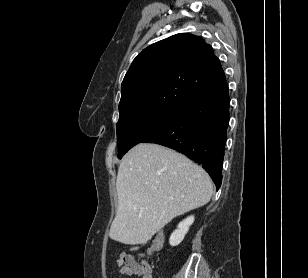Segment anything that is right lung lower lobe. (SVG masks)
Instances as JSON below:
<instances>
[{"label":"right lung lower lobe","instance_id":"1","mask_svg":"<svg viewBox=\"0 0 308 278\" xmlns=\"http://www.w3.org/2000/svg\"><path fill=\"white\" fill-rule=\"evenodd\" d=\"M228 84L178 108L177 115L143 142L172 148L201 164L219 188L230 119Z\"/></svg>","mask_w":308,"mask_h":278}]
</instances>
